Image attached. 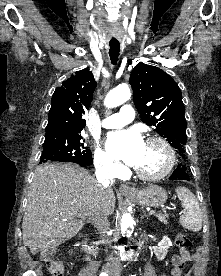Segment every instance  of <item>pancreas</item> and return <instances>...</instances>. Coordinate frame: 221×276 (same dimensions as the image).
Masks as SVG:
<instances>
[{
    "label": "pancreas",
    "mask_w": 221,
    "mask_h": 276,
    "mask_svg": "<svg viewBox=\"0 0 221 276\" xmlns=\"http://www.w3.org/2000/svg\"><path fill=\"white\" fill-rule=\"evenodd\" d=\"M156 217H158L159 218V220L161 221V222H163L164 224H167L168 223V221H167V215L166 214H156Z\"/></svg>",
    "instance_id": "1"
}]
</instances>
